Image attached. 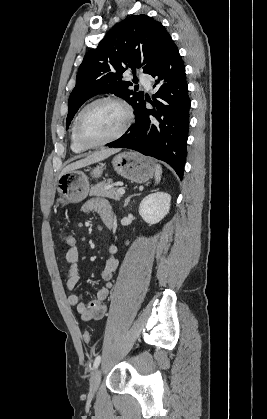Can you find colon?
Masks as SVG:
<instances>
[{
	"instance_id": "colon-1",
	"label": "colon",
	"mask_w": 267,
	"mask_h": 419,
	"mask_svg": "<svg viewBox=\"0 0 267 419\" xmlns=\"http://www.w3.org/2000/svg\"><path fill=\"white\" fill-rule=\"evenodd\" d=\"M62 242L69 247L74 246L76 244V237L72 232H65L62 235ZM83 340L86 343L90 342L91 335L88 331L83 332Z\"/></svg>"
}]
</instances>
